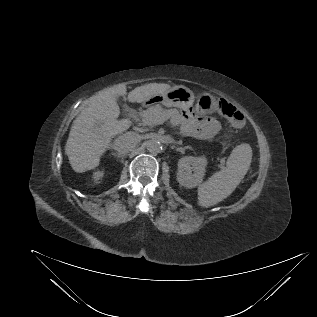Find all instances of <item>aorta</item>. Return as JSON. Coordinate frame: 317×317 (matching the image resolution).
Returning a JSON list of instances; mask_svg holds the SVG:
<instances>
[{"label": "aorta", "instance_id": "1", "mask_svg": "<svg viewBox=\"0 0 317 317\" xmlns=\"http://www.w3.org/2000/svg\"><path fill=\"white\" fill-rule=\"evenodd\" d=\"M146 148L151 154L156 155L161 152L162 145L158 140H149L147 141Z\"/></svg>", "mask_w": 317, "mask_h": 317}]
</instances>
